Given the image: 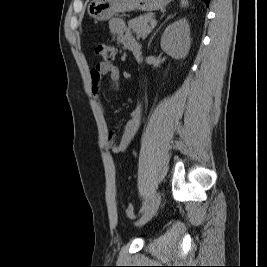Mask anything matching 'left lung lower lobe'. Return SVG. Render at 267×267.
I'll list each match as a JSON object with an SVG mask.
<instances>
[{
	"label": "left lung lower lobe",
	"mask_w": 267,
	"mask_h": 267,
	"mask_svg": "<svg viewBox=\"0 0 267 267\" xmlns=\"http://www.w3.org/2000/svg\"><path fill=\"white\" fill-rule=\"evenodd\" d=\"M202 1H204V3H205L206 5L209 4V0H202Z\"/></svg>",
	"instance_id": "obj_1"
}]
</instances>
